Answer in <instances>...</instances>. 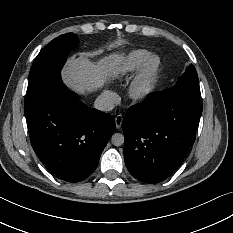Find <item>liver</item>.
I'll return each instance as SVG.
<instances>
[{"mask_svg":"<svg viewBox=\"0 0 233 233\" xmlns=\"http://www.w3.org/2000/svg\"><path fill=\"white\" fill-rule=\"evenodd\" d=\"M126 55L119 50L92 59L85 51L67 58L60 71L61 81L72 93L89 96L104 90L111 81L127 76ZM156 87L153 85L150 91Z\"/></svg>","mask_w":233,"mask_h":233,"instance_id":"obj_1","label":"liver"}]
</instances>
